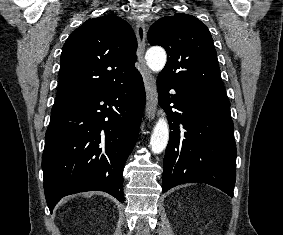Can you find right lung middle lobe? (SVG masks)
I'll return each instance as SVG.
<instances>
[{
	"label": "right lung middle lobe",
	"mask_w": 283,
	"mask_h": 235,
	"mask_svg": "<svg viewBox=\"0 0 283 235\" xmlns=\"http://www.w3.org/2000/svg\"><path fill=\"white\" fill-rule=\"evenodd\" d=\"M62 105L63 104H61V105H54L53 108H52L51 114H54L57 111H59L62 108Z\"/></svg>",
	"instance_id": "obj_1"
}]
</instances>
